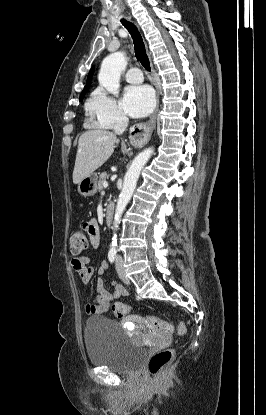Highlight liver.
<instances>
[{"mask_svg":"<svg viewBox=\"0 0 266 415\" xmlns=\"http://www.w3.org/2000/svg\"><path fill=\"white\" fill-rule=\"evenodd\" d=\"M119 140L110 131L96 129L84 132L78 141L73 183L79 182L98 169L114 152Z\"/></svg>","mask_w":266,"mask_h":415,"instance_id":"liver-1","label":"liver"}]
</instances>
